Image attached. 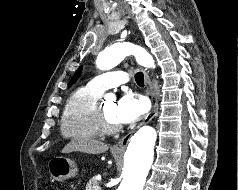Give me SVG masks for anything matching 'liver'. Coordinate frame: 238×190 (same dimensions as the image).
Here are the masks:
<instances>
[{
	"instance_id": "1",
	"label": "liver",
	"mask_w": 238,
	"mask_h": 190,
	"mask_svg": "<svg viewBox=\"0 0 238 190\" xmlns=\"http://www.w3.org/2000/svg\"><path fill=\"white\" fill-rule=\"evenodd\" d=\"M109 146L93 139L75 138L62 149L61 153L83 152L88 154H100L108 150Z\"/></svg>"
}]
</instances>
